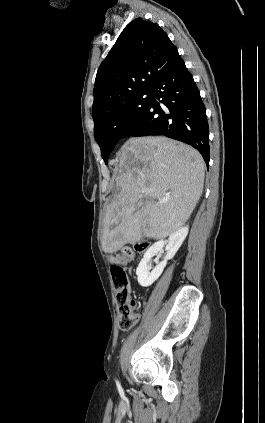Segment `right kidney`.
<instances>
[{
  "label": "right kidney",
  "mask_w": 265,
  "mask_h": 423,
  "mask_svg": "<svg viewBox=\"0 0 265 423\" xmlns=\"http://www.w3.org/2000/svg\"><path fill=\"white\" fill-rule=\"evenodd\" d=\"M189 228L188 226H184L173 232L170 236L168 241L160 240L154 243L144 254L142 260L140 261L137 269L136 275L137 280L140 286L142 287H149L152 285L162 274L164 268L167 265V261L172 259L176 252L179 250L181 245L183 244L185 238L188 235ZM165 246L166 256L165 259L158 263L156 267L150 273V260L153 256L157 255L163 247Z\"/></svg>",
  "instance_id": "right-kidney-1"
}]
</instances>
